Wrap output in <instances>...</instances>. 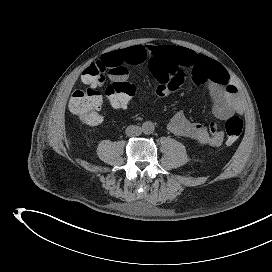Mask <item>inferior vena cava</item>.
<instances>
[{"label":"inferior vena cava","mask_w":272,"mask_h":272,"mask_svg":"<svg viewBox=\"0 0 272 272\" xmlns=\"http://www.w3.org/2000/svg\"><path fill=\"white\" fill-rule=\"evenodd\" d=\"M142 133V128L136 125H130L126 128L127 136H138Z\"/></svg>","instance_id":"602c4592"}]
</instances>
